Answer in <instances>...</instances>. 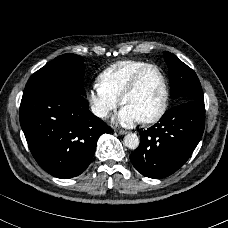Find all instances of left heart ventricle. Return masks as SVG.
Instances as JSON below:
<instances>
[{"instance_id":"left-heart-ventricle-1","label":"left heart ventricle","mask_w":228,"mask_h":228,"mask_svg":"<svg viewBox=\"0 0 228 228\" xmlns=\"http://www.w3.org/2000/svg\"><path fill=\"white\" fill-rule=\"evenodd\" d=\"M164 97L161 75L157 70L151 69L142 77L136 91L125 100L124 106L131 108L142 120L160 110Z\"/></svg>"}]
</instances>
